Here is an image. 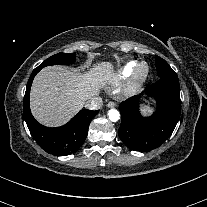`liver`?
<instances>
[{
    "label": "liver",
    "mask_w": 207,
    "mask_h": 207,
    "mask_svg": "<svg viewBox=\"0 0 207 207\" xmlns=\"http://www.w3.org/2000/svg\"><path fill=\"white\" fill-rule=\"evenodd\" d=\"M114 72L111 62L99 63L83 74L63 66L43 68L31 87L32 114L46 126L65 124L82 109L87 100L99 94Z\"/></svg>",
    "instance_id": "1"
}]
</instances>
